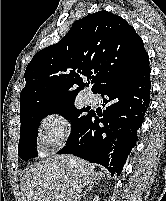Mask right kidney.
<instances>
[{"label": "right kidney", "mask_w": 166, "mask_h": 201, "mask_svg": "<svg viewBox=\"0 0 166 201\" xmlns=\"http://www.w3.org/2000/svg\"><path fill=\"white\" fill-rule=\"evenodd\" d=\"M100 199H99V196L97 195V196H95L94 197V199H93V201H99Z\"/></svg>", "instance_id": "ca27d5eb"}]
</instances>
